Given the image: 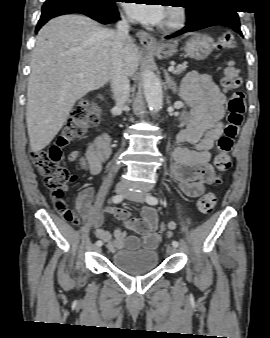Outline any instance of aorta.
I'll return each instance as SVG.
<instances>
[{"label": "aorta", "mask_w": 270, "mask_h": 338, "mask_svg": "<svg viewBox=\"0 0 270 338\" xmlns=\"http://www.w3.org/2000/svg\"><path fill=\"white\" fill-rule=\"evenodd\" d=\"M143 89L148 106L158 112L163 105V91L160 80L150 69L143 73Z\"/></svg>", "instance_id": "1"}]
</instances>
